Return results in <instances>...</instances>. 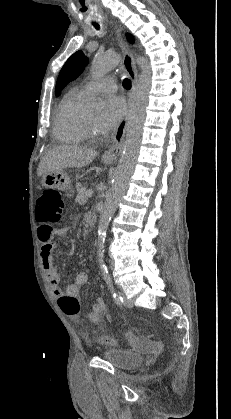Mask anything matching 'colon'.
Here are the masks:
<instances>
[{"label":"colon","mask_w":231,"mask_h":419,"mask_svg":"<svg viewBox=\"0 0 231 419\" xmlns=\"http://www.w3.org/2000/svg\"><path fill=\"white\" fill-rule=\"evenodd\" d=\"M64 213V203L62 194L59 190H45L36 203V219L45 224L58 223ZM58 304L65 315L73 322L80 321V305L75 297L63 295L58 299ZM102 342L107 345H115L116 341L112 338H103Z\"/></svg>","instance_id":"1"}]
</instances>
